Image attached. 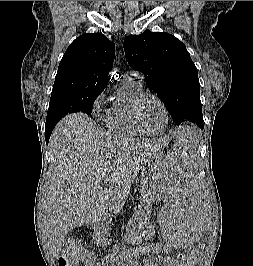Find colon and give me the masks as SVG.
<instances>
[{
	"label": "colon",
	"mask_w": 253,
	"mask_h": 266,
	"mask_svg": "<svg viewBox=\"0 0 253 266\" xmlns=\"http://www.w3.org/2000/svg\"><path fill=\"white\" fill-rule=\"evenodd\" d=\"M201 253V248H190L185 253L179 255L176 259L164 260L170 266H195ZM163 262V263H164ZM153 266H159L158 261L152 259ZM94 266L96 259L88 250L84 249L80 242L72 240L63 249L58 259V266Z\"/></svg>",
	"instance_id": "colon-1"
}]
</instances>
